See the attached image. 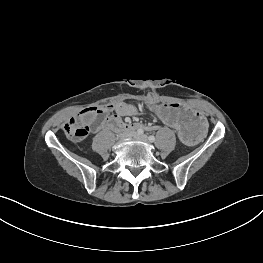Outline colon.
Returning a JSON list of instances; mask_svg holds the SVG:
<instances>
[{
    "label": "colon",
    "mask_w": 263,
    "mask_h": 263,
    "mask_svg": "<svg viewBox=\"0 0 263 263\" xmlns=\"http://www.w3.org/2000/svg\"><path fill=\"white\" fill-rule=\"evenodd\" d=\"M113 105H105L100 109H91L89 111L90 118L89 122L86 119V112L81 113L80 115L71 118L67 123L64 125V132L71 140L79 142L82 141L89 133L90 126H95V121L98 120L100 117L104 116L105 114L112 111Z\"/></svg>",
    "instance_id": "5ec220e1"
}]
</instances>
